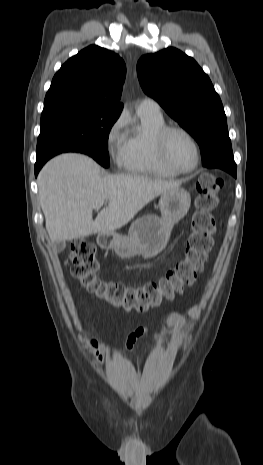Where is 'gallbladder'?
<instances>
[{"instance_id":"obj_1","label":"gallbladder","mask_w":263,"mask_h":465,"mask_svg":"<svg viewBox=\"0 0 263 465\" xmlns=\"http://www.w3.org/2000/svg\"><path fill=\"white\" fill-rule=\"evenodd\" d=\"M66 247V244H65V241L64 240H60V241H55L53 243V249L56 251V252H61L65 249Z\"/></svg>"}]
</instances>
